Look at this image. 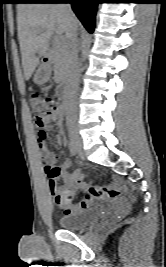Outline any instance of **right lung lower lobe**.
Returning a JSON list of instances; mask_svg holds the SVG:
<instances>
[{
	"label": "right lung lower lobe",
	"instance_id": "1",
	"mask_svg": "<svg viewBox=\"0 0 166 267\" xmlns=\"http://www.w3.org/2000/svg\"><path fill=\"white\" fill-rule=\"evenodd\" d=\"M66 1L71 3L72 9L80 19L84 27L92 33L95 27V15L97 10L98 0H32L30 2L18 3H62Z\"/></svg>",
	"mask_w": 166,
	"mask_h": 267
}]
</instances>
